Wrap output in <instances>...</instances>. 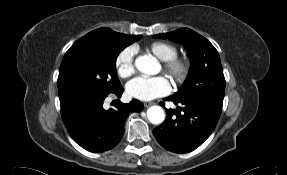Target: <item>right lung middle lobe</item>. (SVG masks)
<instances>
[{
    "instance_id": "dd1d6c3e",
    "label": "right lung middle lobe",
    "mask_w": 287,
    "mask_h": 175,
    "mask_svg": "<svg viewBox=\"0 0 287 175\" xmlns=\"http://www.w3.org/2000/svg\"><path fill=\"white\" fill-rule=\"evenodd\" d=\"M141 35H125L109 28L94 30L77 40L66 52L59 69V99L72 94L107 96L122 88L116 58Z\"/></svg>"
}]
</instances>
